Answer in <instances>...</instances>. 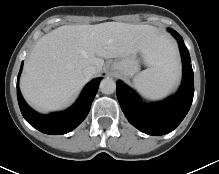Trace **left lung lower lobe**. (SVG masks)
<instances>
[{
	"mask_svg": "<svg viewBox=\"0 0 219 174\" xmlns=\"http://www.w3.org/2000/svg\"><path fill=\"white\" fill-rule=\"evenodd\" d=\"M170 32L178 40L183 62V81L178 93L163 102L146 104L121 81H117V97L129 122L149 135H164L173 131L184 119L192 104L194 77L189 51L183 38L174 30Z\"/></svg>",
	"mask_w": 219,
	"mask_h": 174,
	"instance_id": "1",
	"label": "left lung lower lobe"
}]
</instances>
